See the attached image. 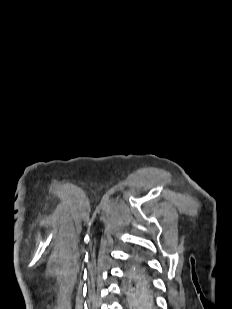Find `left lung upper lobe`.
<instances>
[{
    "instance_id": "obj_1",
    "label": "left lung upper lobe",
    "mask_w": 232,
    "mask_h": 309,
    "mask_svg": "<svg viewBox=\"0 0 232 309\" xmlns=\"http://www.w3.org/2000/svg\"><path fill=\"white\" fill-rule=\"evenodd\" d=\"M131 294H132V293H131ZM131 296H132V295H128V294L126 293V297H127V300H128L129 305H131V302H132Z\"/></svg>"
}]
</instances>
